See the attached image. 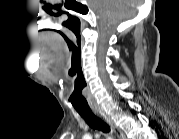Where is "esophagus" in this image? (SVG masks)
Listing matches in <instances>:
<instances>
[{"label": "esophagus", "mask_w": 179, "mask_h": 139, "mask_svg": "<svg viewBox=\"0 0 179 139\" xmlns=\"http://www.w3.org/2000/svg\"><path fill=\"white\" fill-rule=\"evenodd\" d=\"M94 113L103 119L112 129L118 139H125L123 131L114 123V121L105 113L103 109H95Z\"/></svg>", "instance_id": "obj_1"}]
</instances>
